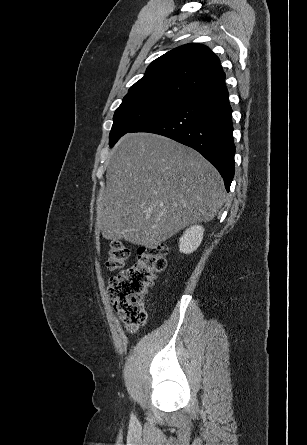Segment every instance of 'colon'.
<instances>
[{
  "label": "colon",
  "mask_w": 307,
  "mask_h": 445,
  "mask_svg": "<svg viewBox=\"0 0 307 445\" xmlns=\"http://www.w3.org/2000/svg\"><path fill=\"white\" fill-rule=\"evenodd\" d=\"M129 254L125 243L112 241L106 267L120 272L110 278L108 295L125 322L141 324L146 320L145 299L148 291L166 265V247L156 245L140 248L134 264L123 269Z\"/></svg>",
  "instance_id": "colon-1"
}]
</instances>
